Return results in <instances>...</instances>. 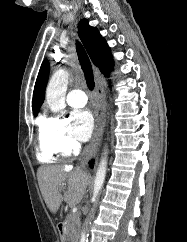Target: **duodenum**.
Here are the masks:
<instances>
[{"instance_id":"1","label":"duodenum","mask_w":187,"mask_h":242,"mask_svg":"<svg viewBox=\"0 0 187 242\" xmlns=\"http://www.w3.org/2000/svg\"><path fill=\"white\" fill-rule=\"evenodd\" d=\"M57 228H58L59 234L63 235V233H64V225H63V223H59Z\"/></svg>"}]
</instances>
